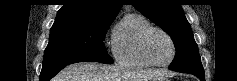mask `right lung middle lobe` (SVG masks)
Here are the masks:
<instances>
[{
	"mask_svg": "<svg viewBox=\"0 0 237 81\" xmlns=\"http://www.w3.org/2000/svg\"><path fill=\"white\" fill-rule=\"evenodd\" d=\"M113 20L85 18L56 19L49 44L44 52L43 64L68 61H94L112 64L104 38Z\"/></svg>",
	"mask_w": 237,
	"mask_h": 81,
	"instance_id": "dd1d6c3e",
	"label": "right lung middle lobe"
}]
</instances>
